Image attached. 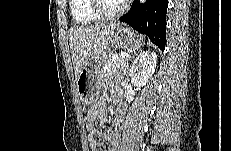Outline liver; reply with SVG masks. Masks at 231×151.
Segmentation results:
<instances>
[{
    "label": "liver",
    "instance_id": "6515ba94",
    "mask_svg": "<svg viewBox=\"0 0 231 151\" xmlns=\"http://www.w3.org/2000/svg\"><path fill=\"white\" fill-rule=\"evenodd\" d=\"M118 23L74 26L69 30V41L75 81L89 59L106 51L112 43Z\"/></svg>",
    "mask_w": 231,
    "mask_h": 151
}]
</instances>
